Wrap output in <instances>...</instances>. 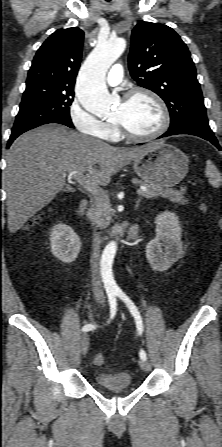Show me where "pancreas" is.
Here are the masks:
<instances>
[{"instance_id":"cf45deb5","label":"pancreas","mask_w":222,"mask_h":447,"mask_svg":"<svg viewBox=\"0 0 222 447\" xmlns=\"http://www.w3.org/2000/svg\"><path fill=\"white\" fill-rule=\"evenodd\" d=\"M137 182L141 183L147 188L146 192L140 193L142 197L154 198L160 196L162 198L169 199L173 203H187V199L184 196L186 187H183L180 190H175L172 188H163L156 184H149L138 180ZM93 201L94 202L92 208L89 210L88 213L89 218L101 227L107 226L111 219V211L108 198H106L104 195L99 194L94 196Z\"/></svg>"}]
</instances>
